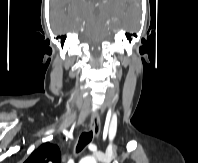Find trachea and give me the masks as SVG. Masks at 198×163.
Wrapping results in <instances>:
<instances>
[{
  "mask_svg": "<svg viewBox=\"0 0 198 163\" xmlns=\"http://www.w3.org/2000/svg\"><path fill=\"white\" fill-rule=\"evenodd\" d=\"M92 137H93L92 131L84 132L79 138V142L76 147V152L77 153L80 152L87 144H89L92 140Z\"/></svg>",
  "mask_w": 198,
  "mask_h": 163,
  "instance_id": "3493384b",
  "label": "trachea"
}]
</instances>
